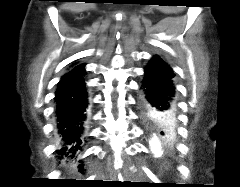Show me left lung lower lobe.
Here are the masks:
<instances>
[{"instance_id": "0a47b994", "label": "left lung lower lobe", "mask_w": 240, "mask_h": 187, "mask_svg": "<svg viewBox=\"0 0 240 187\" xmlns=\"http://www.w3.org/2000/svg\"><path fill=\"white\" fill-rule=\"evenodd\" d=\"M139 108L144 120L173 127L176 123L175 85L172 68L154 56L144 69Z\"/></svg>"}]
</instances>
